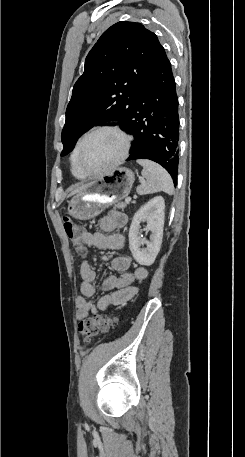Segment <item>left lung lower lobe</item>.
Returning <instances> with one entry per match:
<instances>
[{"mask_svg":"<svg viewBox=\"0 0 245 457\" xmlns=\"http://www.w3.org/2000/svg\"><path fill=\"white\" fill-rule=\"evenodd\" d=\"M176 84L162 45L143 85V97L121 127L134 136L127 161L149 159L163 166L177 183L179 108Z\"/></svg>","mask_w":245,"mask_h":457,"instance_id":"1","label":"left lung lower lobe"}]
</instances>
